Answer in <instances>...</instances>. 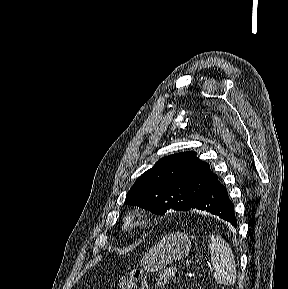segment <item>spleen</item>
Returning <instances> with one entry per match:
<instances>
[{
  "mask_svg": "<svg viewBox=\"0 0 288 289\" xmlns=\"http://www.w3.org/2000/svg\"><path fill=\"white\" fill-rule=\"evenodd\" d=\"M209 250L214 280L223 285L234 284L236 281V267L229 244L221 237L211 235Z\"/></svg>",
  "mask_w": 288,
  "mask_h": 289,
  "instance_id": "3e777b00",
  "label": "spleen"
}]
</instances>
